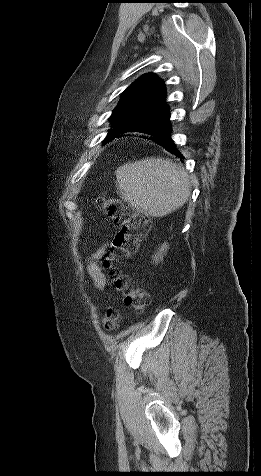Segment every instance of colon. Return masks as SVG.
<instances>
[{
    "mask_svg": "<svg viewBox=\"0 0 261 476\" xmlns=\"http://www.w3.org/2000/svg\"><path fill=\"white\" fill-rule=\"evenodd\" d=\"M95 205L117 227L103 255L102 267L109 271L116 289L123 292L125 304L134 312L141 313L148 304L149 296L144 289L132 286L127 275L119 272L118 265L137 252L142 238L150 231L149 220L114 197L99 196ZM118 320V311L108 308L102 322L106 329H114Z\"/></svg>",
    "mask_w": 261,
    "mask_h": 476,
    "instance_id": "colon-1",
    "label": "colon"
}]
</instances>
